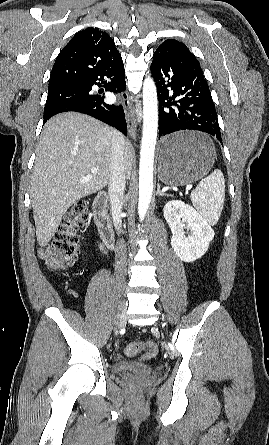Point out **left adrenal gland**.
<instances>
[{"mask_svg":"<svg viewBox=\"0 0 269 445\" xmlns=\"http://www.w3.org/2000/svg\"><path fill=\"white\" fill-rule=\"evenodd\" d=\"M157 196H170V194L164 193L160 190V184H158V188H157Z\"/></svg>","mask_w":269,"mask_h":445,"instance_id":"a2214340","label":"left adrenal gland"}]
</instances>
